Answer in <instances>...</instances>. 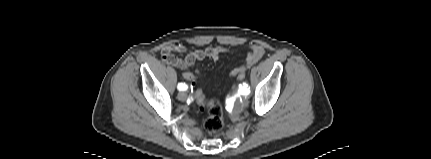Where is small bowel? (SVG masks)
I'll return each instance as SVG.
<instances>
[{
	"mask_svg": "<svg viewBox=\"0 0 431 159\" xmlns=\"http://www.w3.org/2000/svg\"><path fill=\"white\" fill-rule=\"evenodd\" d=\"M249 49L250 51L247 54L244 64L234 68L231 71L232 76L237 77V73L240 70L246 72L248 68H250L262 58L265 52L264 48L258 44H252ZM184 52H186V47L182 44L166 45L162 49V60L166 64L177 67L179 69H187L194 65L195 62L203 60L206 57H209L213 60H217L221 54L227 53L228 49L221 46H210L205 49L194 50L188 53L184 58H179L178 56H176V53L182 54Z\"/></svg>",
	"mask_w": 431,
	"mask_h": 159,
	"instance_id": "1",
	"label": "small bowel"
}]
</instances>
